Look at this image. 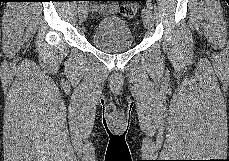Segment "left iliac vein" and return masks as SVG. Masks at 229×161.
<instances>
[{
    "label": "left iliac vein",
    "mask_w": 229,
    "mask_h": 161,
    "mask_svg": "<svg viewBox=\"0 0 229 161\" xmlns=\"http://www.w3.org/2000/svg\"><path fill=\"white\" fill-rule=\"evenodd\" d=\"M143 23L146 29L151 30L153 27V15L150 8L146 7L142 12Z\"/></svg>",
    "instance_id": "4c4485c4"
}]
</instances>
